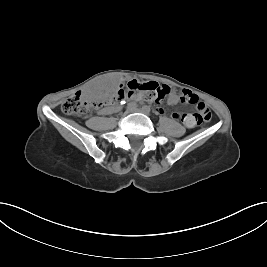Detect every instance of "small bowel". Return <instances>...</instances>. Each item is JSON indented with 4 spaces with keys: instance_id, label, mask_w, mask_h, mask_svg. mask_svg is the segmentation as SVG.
I'll return each mask as SVG.
<instances>
[{
    "instance_id": "1",
    "label": "small bowel",
    "mask_w": 267,
    "mask_h": 267,
    "mask_svg": "<svg viewBox=\"0 0 267 267\" xmlns=\"http://www.w3.org/2000/svg\"><path fill=\"white\" fill-rule=\"evenodd\" d=\"M180 101V97L177 93H175L174 91H172L169 95L168 98V102L170 104H177ZM205 104L202 102H197V107H204ZM206 107V106H205ZM112 110H117V108H106L103 110L104 113H108ZM158 111L163 112L162 108H158ZM193 114L189 113V114H180L178 112H174L172 114V118L173 119H181L184 124L188 127V128H192L196 125L195 121L193 120Z\"/></svg>"
}]
</instances>
